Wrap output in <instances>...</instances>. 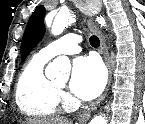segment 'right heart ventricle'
<instances>
[{
    "instance_id": "right-heart-ventricle-1",
    "label": "right heart ventricle",
    "mask_w": 145,
    "mask_h": 124,
    "mask_svg": "<svg viewBox=\"0 0 145 124\" xmlns=\"http://www.w3.org/2000/svg\"><path fill=\"white\" fill-rule=\"evenodd\" d=\"M47 61L39 54L34 55L25 64L17 80L16 104L22 113L31 117H52L59 111V93L44 74Z\"/></svg>"
}]
</instances>
